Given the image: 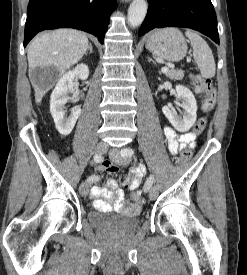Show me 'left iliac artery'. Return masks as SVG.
<instances>
[{"label": "left iliac artery", "instance_id": "44dca946", "mask_svg": "<svg viewBox=\"0 0 247 275\" xmlns=\"http://www.w3.org/2000/svg\"><path fill=\"white\" fill-rule=\"evenodd\" d=\"M133 153H134L133 149L125 150V151H122V156L130 157ZM153 183H154V176L150 175L144 184V190L147 192L152 187Z\"/></svg>", "mask_w": 247, "mask_h": 275}]
</instances>
